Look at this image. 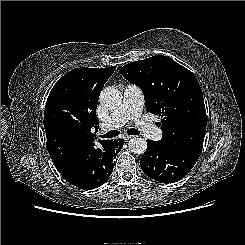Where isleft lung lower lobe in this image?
<instances>
[{
	"label": "left lung lower lobe",
	"instance_id": "0a47b994",
	"mask_svg": "<svg viewBox=\"0 0 245 245\" xmlns=\"http://www.w3.org/2000/svg\"><path fill=\"white\" fill-rule=\"evenodd\" d=\"M201 153L192 150H173L159 141H147L140 166L150 178L161 183H174L193 168Z\"/></svg>",
	"mask_w": 245,
	"mask_h": 245
}]
</instances>
